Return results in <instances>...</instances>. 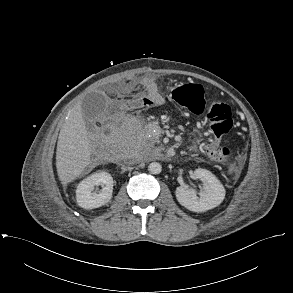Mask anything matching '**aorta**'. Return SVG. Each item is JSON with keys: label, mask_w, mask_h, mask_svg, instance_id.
Segmentation results:
<instances>
[{"label": "aorta", "mask_w": 293, "mask_h": 293, "mask_svg": "<svg viewBox=\"0 0 293 293\" xmlns=\"http://www.w3.org/2000/svg\"><path fill=\"white\" fill-rule=\"evenodd\" d=\"M148 170L152 174H159L162 171V166L159 162H152L149 164Z\"/></svg>", "instance_id": "obj_1"}]
</instances>
